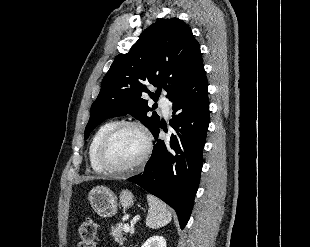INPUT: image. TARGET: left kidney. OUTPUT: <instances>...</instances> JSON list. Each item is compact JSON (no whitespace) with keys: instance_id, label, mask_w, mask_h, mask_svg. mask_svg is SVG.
I'll return each mask as SVG.
<instances>
[{"instance_id":"left-kidney-1","label":"left kidney","mask_w":310,"mask_h":247,"mask_svg":"<svg viewBox=\"0 0 310 247\" xmlns=\"http://www.w3.org/2000/svg\"><path fill=\"white\" fill-rule=\"evenodd\" d=\"M142 247H166V240L162 236H152Z\"/></svg>"}]
</instances>
